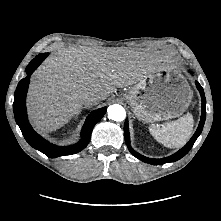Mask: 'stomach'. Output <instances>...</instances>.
<instances>
[{
    "label": "stomach",
    "mask_w": 221,
    "mask_h": 221,
    "mask_svg": "<svg viewBox=\"0 0 221 221\" xmlns=\"http://www.w3.org/2000/svg\"><path fill=\"white\" fill-rule=\"evenodd\" d=\"M124 98L140 121L152 123L183 114L190 105L192 93L186 79L165 66L145 76Z\"/></svg>",
    "instance_id": "1"
}]
</instances>
